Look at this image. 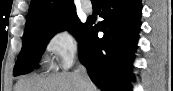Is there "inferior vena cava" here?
Masks as SVG:
<instances>
[{
	"label": "inferior vena cava",
	"instance_id": "inferior-vena-cava-1",
	"mask_svg": "<svg viewBox=\"0 0 173 91\" xmlns=\"http://www.w3.org/2000/svg\"><path fill=\"white\" fill-rule=\"evenodd\" d=\"M75 74H76L81 86L83 88H86L88 86L89 77H88L85 66L80 64L79 67L77 68V70L75 71Z\"/></svg>",
	"mask_w": 173,
	"mask_h": 91
}]
</instances>
